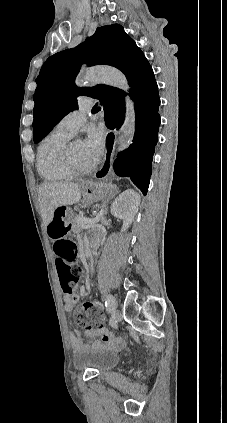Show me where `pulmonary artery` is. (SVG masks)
Returning <instances> with one entry per match:
<instances>
[{"mask_svg":"<svg viewBox=\"0 0 227 423\" xmlns=\"http://www.w3.org/2000/svg\"><path fill=\"white\" fill-rule=\"evenodd\" d=\"M88 107L89 104L87 102H83L80 104L79 110L67 114L59 122L58 126L71 135H75L78 129L85 124L86 119L88 118V113L86 112Z\"/></svg>","mask_w":227,"mask_h":423,"instance_id":"pulmonary-artery-1","label":"pulmonary artery"}]
</instances>
